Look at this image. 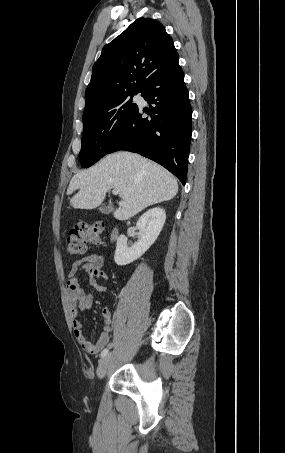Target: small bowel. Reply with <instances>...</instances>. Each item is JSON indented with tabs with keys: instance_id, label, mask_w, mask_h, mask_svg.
<instances>
[{
	"instance_id": "obj_1",
	"label": "small bowel",
	"mask_w": 285,
	"mask_h": 453,
	"mask_svg": "<svg viewBox=\"0 0 285 453\" xmlns=\"http://www.w3.org/2000/svg\"><path fill=\"white\" fill-rule=\"evenodd\" d=\"M80 271H84L89 275V291L83 290L79 284L78 274ZM106 279L107 274L104 270V257L97 253H92L75 261L68 274L67 289L70 300L73 333L79 345L86 352L91 354H97L109 344L113 336L111 327L112 313L107 307L101 310L100 315L104 327L98 340L96 342H91L87 339L83 331L82 323L79 320V311H89L92 308L94 303V292L102 293L106 290V286L101 284L99 280Z\"/></svg>"
}]
</instances>
